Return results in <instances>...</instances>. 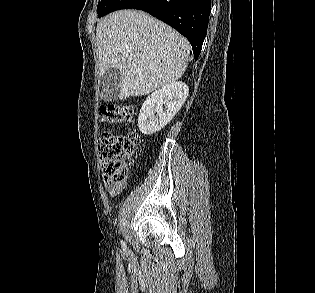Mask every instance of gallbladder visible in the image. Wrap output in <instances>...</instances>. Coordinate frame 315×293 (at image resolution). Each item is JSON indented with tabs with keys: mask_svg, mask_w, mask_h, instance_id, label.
<instances>
[{
	"mask_svg": "<svg viewBox=\"0 0 315 293\" xmlns=\"http://www.w3.org/2000/svg\"><path fill=\"white\" fill-rule=\"evenodd\" d=\"M121 81L120 71L116 67H109L101 77V84L105 90V101H116L119 98V84Z\"/></svg>",
	"mask_w": 315,
	"mask_h": 293,
	"instance_id": "gallbladder-1",
	"label": "gallbladder"
}]
</instances>
